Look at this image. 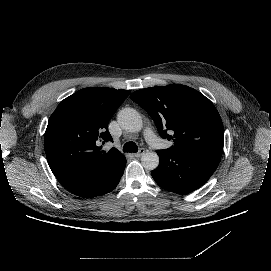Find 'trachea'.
<instances>
[{"mask_svg":"<svg viewBox=\"0 0 271 271\" xmlns=\"http://www.w3.org/2000/svg\"><path fill=\"white\" fill-rule=\"evenodd\" d=\"M138 146L134 142H127L123 146V152H137Z\"/></svg>","mask_w":271,"mask_h":271,"instance_id":"trachea-1","label":"trachea"}]
</instances>
